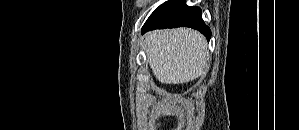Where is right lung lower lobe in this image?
I'll use <instances>...</instances> for the list:
<instances>
[{"mask_svg":"<svg viewBox=\"0 0 299 130\" xmlns=\"http://www.w3.org/2000/svg\"><path fill=\"white\" fill-rule=\"evenodd\" d=\"M201 13L199 7L187 6L185 0H169L150 15L141 32L145 33L157 28L186 26L200 31L209 41L211 31L202 20Z\"/></svg>","mask_w":299,"mask_h":130,"instance_id":"right-lung-lower-lobe-1","label":"right lung lower lobe"}]
</instances>
